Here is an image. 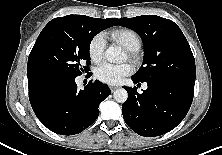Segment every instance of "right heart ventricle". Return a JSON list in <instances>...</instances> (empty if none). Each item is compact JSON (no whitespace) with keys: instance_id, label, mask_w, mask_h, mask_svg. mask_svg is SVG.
I'll use <instances>...</instances> for the list:
<instances>
[{"instance_id":"obj_1","label":"right heart ventricle","mask_w":222,"mask_h":155,"mask_svg":"<svg viewBox=\"0 0 222 155\" xmlns=\"http://www.w3.org/2000/svg\"><path fill=\"white\" fill-rule=\"evenodd\" d=\"M111 37L128 51L136 52L141 47V38L132 29L120 28L113 30Z\"/></svg>"}]
</instances>
